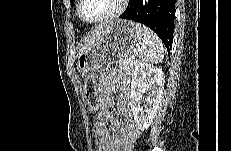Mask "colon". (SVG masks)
<instances>
[{
	"instance_id": "obj_1",
	"label": "colon",
	"mask_w": 231,
	"mask_h": 151,
	"mask_svg": "<svg viewBox=\"0 0 231 151\" xmlns=\"http://www.w3.org/2000/svg\"><path fill=\"white\" fill-rule=\"evenodd\" d=\"M85 97L90 109L97 113L99 109V100L97 96V84L93 75H87L84 84ZM97 151H106V147L103 145L97 146Z\"/></svg>"
}]
</instances>
